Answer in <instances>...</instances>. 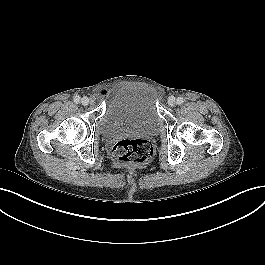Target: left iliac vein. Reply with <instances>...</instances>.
<instances>
[{"label":"left iliac vein","mask_w":265,"mask_h":265,"mask_svg":"<svg viewBox=\"0 0 265 265\" xmlns=\"http://www.w3.org/2000/svg\"><path fill=\"white\" fill-rule=\"evenodd\" d=\"M168 104H169L170 106H174V105L176 104V99H175V97L170 96V97L168 98Z\"/></svg>","instance_id":"obj_1"}]
</instances>
